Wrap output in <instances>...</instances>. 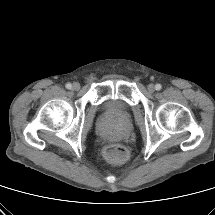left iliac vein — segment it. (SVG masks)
<instances>
[{"instance_id":"obj_1","label":"left iliac vein","mask_w":215,"mask_h":215,"mask_svg":"<svg viewBox=\"0 0 215 215\" xmlns=\"http://www.w3.org/2000/svg\"><path fill=\"white\" fill-rule=\"evenodd\" d=\"M148 91H149L150 93H153V92L155 91V86H154L153 84H149V85H148Z\"/></svg>"}]
</instances>
